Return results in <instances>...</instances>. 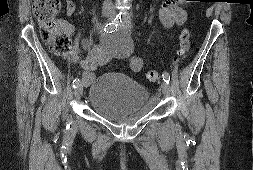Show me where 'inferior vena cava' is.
<instances>
[{
	"mask_svg": "<svg viewBox=\"0 0 253 170\" xmlns=\"http://www.w3.org/2000/svg\"><path fill=\"white\" fill-rule=\"evenodd\" d=\"M103 8L106 10L112 9V0H104Z\"/></svg>",
	"mask_w": 253,
	"mask_h": 170,
	"instance_id": "inferior-vena-cava-1",
	"label": "inferior vena cava"
}]
</instances>
